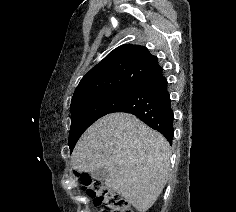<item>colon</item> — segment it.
Returning a JSON list of instances; mask_svg holds the SVG:
<instances>
[{
  "label": "colon",
  "mask_w": 236,
  "mask_h": 212,
  "mask_svg": "<svg viewBox=\"0 0 236 212\" xmlns=\"http://www.w3.org/2000/svg\"><path fill=\"white\" fill-rule=\"evenodd\" d=\"M83 191L99 206L105 207L103 212H132L127 200L106 187L101 181L88 174L78 176Z\"/></svg>",
  "instance_id": "colon-1"
}]
</instances>
